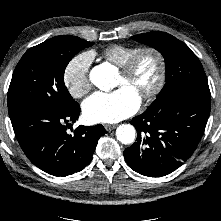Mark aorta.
<instances>
[{
    "instance_id": "1",
    "label": "aorta",
    "mask_w": 221,
    "mask_h": 221,
    "mask_svg": "<svg viewBox=\"0 0 221 221\" xmlns=\"http://www.w3.org/2000/svg\"><path fill=\"white\" fill-rule=\"evenodd\" d=\"M114 73L104 65L96 66L90 73L92 83L100 90L108 91L113 88ZM117 139L123 144H131L136 137V130L130 124H122L116 130Z\"/></svg>"
}]
</instances>
